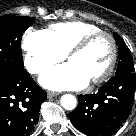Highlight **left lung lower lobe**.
<instances>
[{"label": "left lung lower lobe", "mask_w": 136, "mask_h": 136, "mask_svg": "<svg viewBox=\"0 0 136 136\" xmlns=\"http://www.w3.org/2000/svg\"><path fill=\"white\" fill-rule=\"evenodd\" d=\"M136 73L119 74L97 93L79 95L77 108L69 114L72 124L89 136H109L130 114Z\"/></svg>", "instance_id": "obj_1"}]
</instances>
